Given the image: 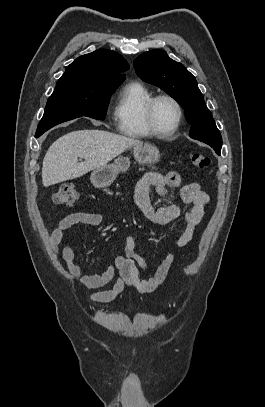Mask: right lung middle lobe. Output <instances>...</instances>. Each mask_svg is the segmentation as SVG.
<instances>
[{
  "label": "right lung middle lobe",
  "mask_w": 265,
  "mask_h": 407,
  "mask_svg": "<svg viewBox=\"0 0 265 407\" xmlns=\"http://www.w3.org/2000/svg\"><path fill=\"white\" fill-rule=\"evenodd\" d=\"M121 83L77 82L60 78L49 97L36 136L53 126L78 117L104 119L112 93Z\"/></svg>",
  "instance_id": "1"
}]
</instances>
